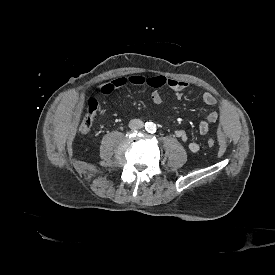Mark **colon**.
<instances>
[{
	"instance_id": "5ec220e1",
	"label": "colon",
	"mask_w": 275,
	"mask_h": 275,
	"mask_svg": "<svg viewBox=\"0 0 275 275\" xmlns=\"http://www.w3.org/2000/svg\"><path fill=\"white\" fill-rule=\"evenodd\" d=\"M98 110V102L95 98L91 97L87 101V111L86 114L79 126V130L82 133L89 132L91 128L93 127L94 121H95V113ZM214 139L210 138L208 141H206L205 146L208 149L213 148L214 146Z\"/></svg>"
}]
</instances>
